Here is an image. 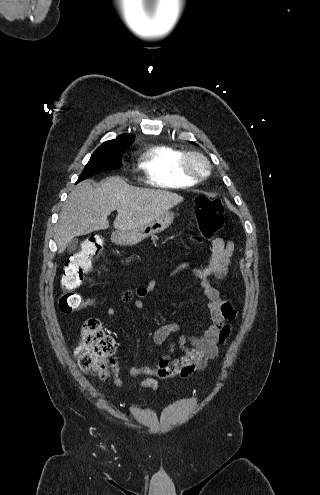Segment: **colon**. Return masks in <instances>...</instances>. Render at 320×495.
I'll return each instance as SVG.
<instances>
[{"mask_svg":"<svg viewBox=\"0 0 320 495\" xmlns=\"http://www.w3.org/2000/svg\"><path fill=\"white\" fill-rule=\"evenodd\" d=\"M224 207L219 198L199 196L195 200V215L200 225V236H193L192 243L199 245L221 229L224 223ZM104 237L101 234L89 235L80 249L71 254L61 275L63 289L59 298V308L66 313L85 307L86 301L75 290L82 284L90 271L93 261L103 253ZM117 343L113 336L105 332L96 318L87 319L81 331V342L75 349L78 364L83 371L97 373L102 380L110 377L108 360L114 362Z\"/></svg>","mask_w":320,"mask_h":495,"instance_id":"obj_1","label":"colon"}]
</instances>
